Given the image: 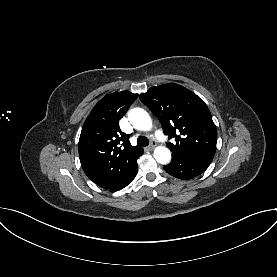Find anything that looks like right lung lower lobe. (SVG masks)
I'll list each match as a JSON object with an SVG mask.
<instances>
[{"instance_id": "obj_1", "label": "right lung lower lobe", "mask_w": 277, "mask_h": 277, "mask_svg": "<svg viewBox=\"0 0 277 277\" xmlns=\"http://www.w3.org/2000/svg\"><path fill=\"white\" fill-rule=\"evenodd\" d=\"M137 171H138V165L136 164L128 173L127 175L121 179L118 183H116L111 189H109L110 191H119L121 189H123L124 187H126L127 185H129L133 179L135 178V176L137 175Z\"/></svg>"}]
</instances>
